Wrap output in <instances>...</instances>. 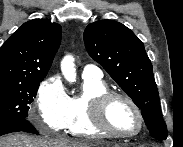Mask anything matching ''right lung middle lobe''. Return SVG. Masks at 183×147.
Wrapping results in <instances>:
<instances>
[{
    "label": "right lung middle lobe",
    "mask_w": 183,
    "mask_h": 147,
    "mask_svg": "<svg viewBox=\"0 0 183 147\" xmlns=\"http://www.w3.org/2000/svg\"><path fill=\"white\" fill-rule=\"evenodd\" d=\"M43 79L44 77L24 82L0 83V122L27 118L29 105L36 97Z\"/></svg>",
    "instance_id": "right-lung-middle-lobe-1"
}]
</instances>
